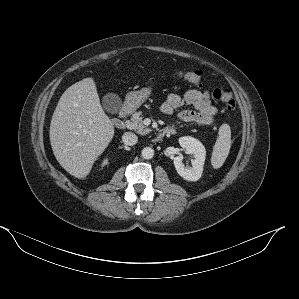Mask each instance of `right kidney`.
Masks as SVG:
<instances>
[{
	"label": "right kidney",
	"instance_id": "obj_1",
	"mask_svg": "<svg viewBox=\"0 0 299 299\" xmlns=\"http://www.w3.org/2000/svg\"><path fill=\"white\" fill-rule=\"evenodd\" d=\"M107 164H108V159L106 158V159L103 160V162H102V166H105V165H107Z\"/></svg>",
	"mask_w": 299,
	"mask_h": 299
}]
</instances>
